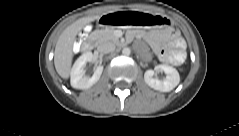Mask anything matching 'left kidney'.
<instances>
[{"mask_svg": "<svg viewBox=\"0 0 239 136\" xmlns=\"http://www.w3.org/2000/svg\"><path fill=\"white\" fill-rule=\"evenodd\" d=\"M155 71L156 72L164 71L166 77L162 80L154 78ZM155 71L147 70L144 74V80L146 84L155 90L161 92H169L173 90L180 82L179 73L172 66L160 64L155 67Z\"/></svg>", "mask_w": 239, "mask_h": 136, "instance_id": "1", "label": "left kidney"}]
</instances>
